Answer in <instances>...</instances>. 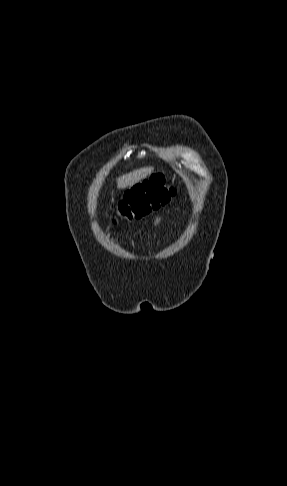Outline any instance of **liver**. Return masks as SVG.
<instances>
[{
	"label": "liver",
	"mask_w": 287,
	"mask_h": 486,
	"mask_svg": "<svg viewBox=\"0 0 287 486\" xmlns=\"http://www.w3.org/2000/svg\"><path fill=\"white\" fill-rule=\"evenodd\" d=\"M153 167H144L125 174L117 179V188L125 189L145 179L153 172Z\"/></svg>",
	"instance_id": "6515ba94"
}]
</instances>
